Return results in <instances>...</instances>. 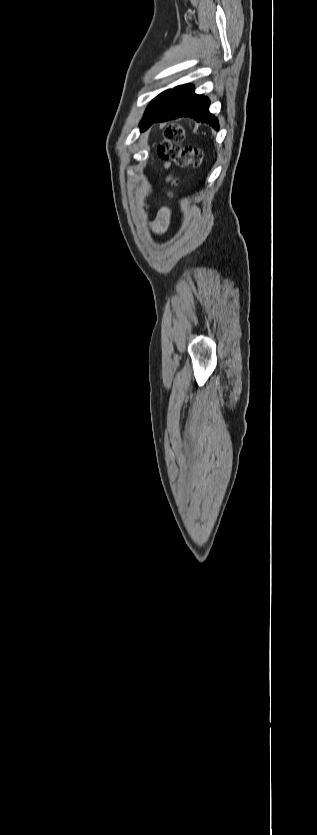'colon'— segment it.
I'll list each match as a JSON object with an SVG mask.
<instances>
[{
    "mask_svg": "<svg viewBox=\"0 0 317 835\" xmlns=\"http://www.w3.org/2000/svg\"><path fill=\"white\" fill-rule=\"evenodd\" d=\"M184 129L179 125H171L164 132V138L159 144L157 153L161 160L174 162L179 167L200 168L203 163V152L199 148L181 146L184 139ZM168 182L171 186L177 184V180L170 176Z\"/></svg>",
    "mask_w": 317,
    "mask_h": 835,
    "instance_id": "1",
    "label": "colon"
}]
</instances>
